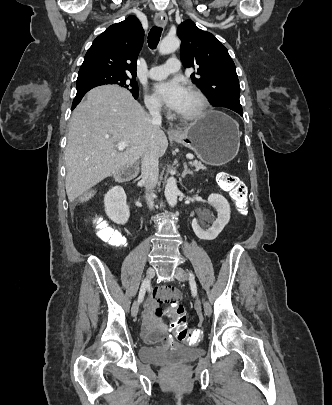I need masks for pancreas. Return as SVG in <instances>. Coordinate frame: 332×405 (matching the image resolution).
Masks as SVG:
<instances>
[{
  "label": "pancreas",
  "instance_id": "cf45deb5",
  "mask_svg": "<svg viewBox=\"0 0 332 405\" xmlns=\"http://www.w3.org/2000/svg\"><path fill=\"white\" fill-rule=\"evenodd\" d=\"M192 166L196 168V170L204 169V165L201 162L193 161L190 163Z\"/></svg>",
  "mask_w": 332,
  "mask_h": 405
}]
</instances>
